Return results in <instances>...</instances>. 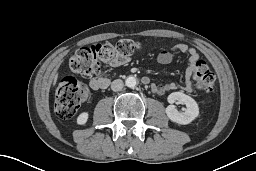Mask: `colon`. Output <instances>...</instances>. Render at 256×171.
I'll list each match as a JSON object with an SVG mask.
<instances>
[{"label":"colon","instance_id":"5ec220e1","mask_svg":"<svg viewBox=\"0 0 256 171\" xmlns=\"http://www.w3.org/2000/svg\"><path fill=\"white\" fill-rule=\"evenodd\" d=\"M139 49V44L130 39L104 43L78 49L69 59V69L83 76H93L100 71V62H109L116 57H128ZM192 80L200 92L212 94L215 89V74L204 61H197ZM55 111L61 118L73 116L89 97L88 87L73 77H64L56 85Z\"/></svg>","mask_w":256,"mask_h":171}]
</instances>
